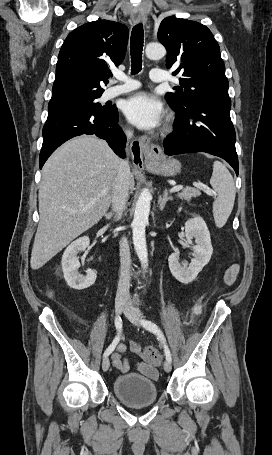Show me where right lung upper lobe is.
I'll return each instance as SVG.
<instances>
[{
  "mask_svg": "<svg viewBox=\"0 0 272 455\" xmlns=\"http://www.w3.org/2000/svg\"><path fill=\"white\" fill-rule=\"evenodd\" d=\"M128 28L109 20L86 23L65 39L56 66L50 102L103 93L100 82L125 57Z\"/></svg>",
  "mask_w": 272,
  "mask_h": 455,
  "instance_id": "cb5924a9",
  "label": "right lung upper lobe"
}]
</instances>
